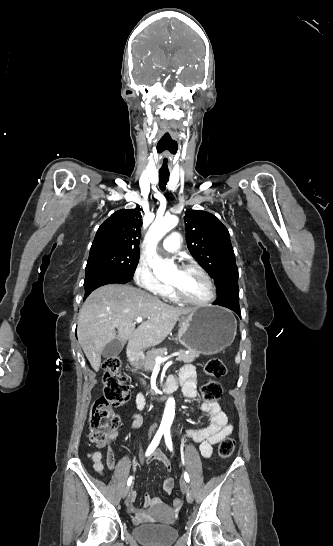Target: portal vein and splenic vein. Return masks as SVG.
Masks as SVG:
<instances>
[{
    "mask_svg": "<svg viewBox=\"0 0 333 546\" xmlns=\"http://www.w3.org/2000/svg\"><path fill=\"white\" fill-rule=\"evenodd\" d=\"M142 321H143L142 317H137L136 318L137 323H141ZM180 354H181V352H174L171 355L165 356V357L157 356L155 362L157 364H161V363L165 362L167 359H169L171 357L179 356Z\"/></svg>",
    "mask_w": 333,
    "mask_h": 546,
    "instance_id": "18ae733b",
    "label": "portal vein and splenic vein"
}]
</instances>
